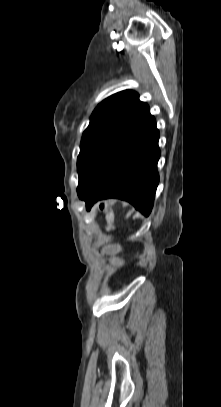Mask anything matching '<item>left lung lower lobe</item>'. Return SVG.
<instances>
[{
	"mask_svg": "<svg viewBox=\"0 0 221 407\" xmlns=\"http://www.w3.org/2000/svg\"><path fill=\"white\" fill-rule=\"evenodd\" d=\"M158 139L156 121L144 104L77 191L87 210L98 200L120 198L149 215L159 183Z\"/></svg>",
	"mask_w": 221,
	"mask_h": 407,
	"instance_id": "left-lung-lower-lobe-1",
	"label": "left lung lower lobe"
}]
</instances>
